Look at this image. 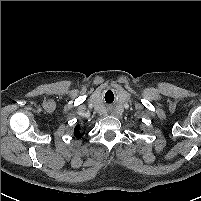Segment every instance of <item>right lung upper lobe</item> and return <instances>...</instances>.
Instances as JSON below:
<instances>
[{
    "label": "right lung upper lobe",
    "instance_id": "cb5924a9",
    "mask_svg": "<svg viewBox=\"0 0 201 201\" xmlns=\"http://www.w3.org/2000/svg\"><path fill=\"white\" fill-rule=\"evenodd\" d=\"M74 135L77 137V138H80L82 137V133L80 132V129H79V126H77L74 130Z\"/></svg>",
    "mask_w": 201,
    "mask_h": 201
}]
</instances>
